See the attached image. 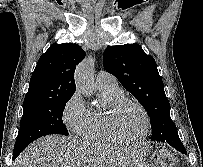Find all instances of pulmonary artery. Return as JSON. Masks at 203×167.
I'll return each mask as SVG.
<instances>
[{
	"mask_svg": "<svg viewBox=\"0 0 203 167\" xmlns=\"http://www.w3.org/2000/svg\"><path fill=\"white\" fill-rule=\"evenodd\" d=\"M96 84L100 87H113L117 85V80L114 75L106 72L100 71L96 77Z\"/></svg>",
	"mask_w": 203,
	"mask_h": 167,
	"instance_id": "e3ab8cb5",
	"label": "pulmonary artery"
}]
</instances>
